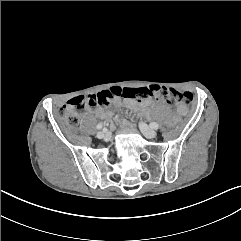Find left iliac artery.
<instances>
[{"label":"left iliac artery","mask_w":241,"mask_h":241,"mask_svg":"<svg viewBox=\"0 0 241 241\" xmlns=\"http://www.w3.org/2000/svg\"><path fill=\"white\" fill-rule=\"evenodd\" d=\"M150 126L155 130L159 129V125L156 122H152Z\"/></svg>","instance_id":"obj_1"}]
</instances>
